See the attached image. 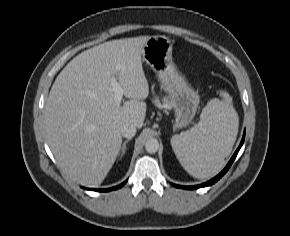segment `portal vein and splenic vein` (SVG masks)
Listing matches in <instances>:
<instances>
[{"label": "portal vein and splenic vein", "instance_id": "1", "mask_svg": "<svg viewBox=\"0 0 290 236\" xmlns=\"http://www.w3.org/2000/svg\"><path fill=\"white\" fill-rule=\"evenodd\" d=\"M111 85H112V91L114 92V95H115L114 101L117 105H119L123 97V89L121 88V86L115 79H112Z\"/></svg>", "mask_w": 290, "mask_h": 236}]
</instances>
